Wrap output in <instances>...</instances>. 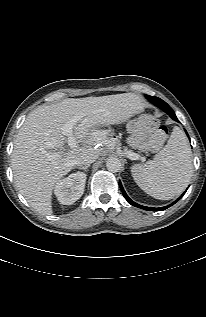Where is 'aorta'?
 <instances>
[{
	"mask_svg": "<svg viewBox=\"0 0 206 317\" xmlns=\"http://www.w3.org/2000/svg\"><path fill=\"white\" fill-rule=\"evenodd\" d=\"M106 167L109 171L115 173V172H119L121 170L122 163H121L120 159H118L116 157H111V158L107 159Z\"/></svg>",
	"mask_w": 206,
	"mask_h": 317,
	"instance_id": "1",
	"label": "aorta"
}]
</instances>
